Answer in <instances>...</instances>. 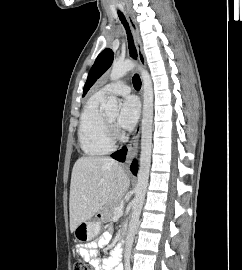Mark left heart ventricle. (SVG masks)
Instances as JSON below:
<instances>
[{
  "mask_svg": "<svg viewBox=\"0 0 242 270\" xmlns=\"http://www.w3.org/2000/svg\"><path fill=\"white\" fill-rule=\"evenodd\" d=\"M108 118L115 123L116 118H117V114H112V115H108Z\"/></svg>",
  "mask_w": 242,
  "mask_h": 270,
  "instance_id": "obj_1",
  "label": "left heart ventricle"
}]
</instances>
